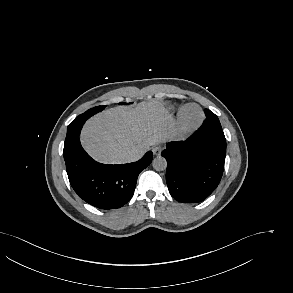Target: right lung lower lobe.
<instances>
[{
  "instance_id": "98d812e1",
  "label": "right lung lower lobe",
  "mask_w": 293,
  "mask_h": 293,
  "mask_svg": "<svg viewBox=\"0 0 293 293\" xmlns=\"http://www.w3.org/2000/svg\"><path fill=\"white\" fill-rule=\"evenodd\" d=\"M90 116H78L67 128L64 160L70 184L74 191L90 205L100 209H117L134 194L139 173L153 159L147 152L139 161L105 165L94 161L82 148L79 133Z\"/></svg>"
}]
</instances>
